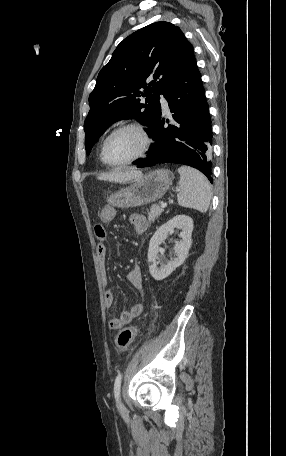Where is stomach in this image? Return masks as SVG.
<instances>
[{
  "label": "stomach",
  "mask_w": 286,
  "mask_h": 456,
  "mask_svg": "<svg viewBox=\"0 0 286 456\" xmlns=\"http://www.w3.org/2000/svg\"><path fill=\"white\" fill-rule=\"evenodd\" d=\"M173 173L167 169L149 172L129 187L108 198V203L119 208H132L152 203L160 199L169 189Z\"/></svg>",
  "instance_id": "stomach-1"
}]
</instances>
